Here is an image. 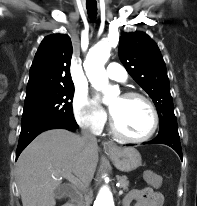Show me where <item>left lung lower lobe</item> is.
Here are the masks:
<instances>
[{
	"label": "left lung lower lobe",
	"mask_w": 197,
	"mask_h": 206,
	"mask_svg": "<svg viewBox=\"0 0 197 206\" xmlns=\"http://www.w3.org/2000/svg\"><path fill=\"white\" fill-rule=\"evenodd\" d=\"M146 144H165V145H168L178 153V155L180 156V158L182 160V149H181L179 135H173V134L158 135L152 141L146 142ZM129 145H132V144H129Z\"/></svg>",
	"instance_id": "left-lung-lower-lobe-1"
}]
</instances>
